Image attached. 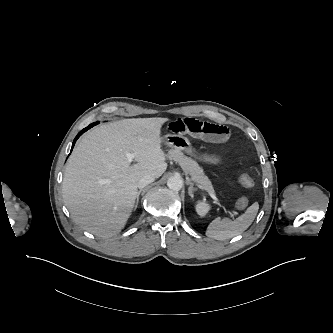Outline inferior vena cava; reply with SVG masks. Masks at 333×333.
<instances>
[{
	"label": "inferior vena cava",
	"instance_id": "obj_1",
	"mask_svg": "<svg viewBox=\"0 0 333 333\" xmlns=\"http://www.w3.org/2000/svg\"><path fill=\"white\" fill-rule=\"evenodd\" d=\"M154 180H155L154 175L146 174L139 180L138 187L142 189L147 185H149L150 183H152Z\"/></svg>",
	"mask_w": 333,
	"mask_h": 333
}]
</instances>
